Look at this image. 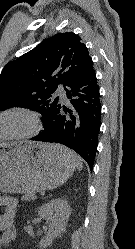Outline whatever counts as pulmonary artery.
I'll return each instance as SVG.
<instances>
[{
	"mask_svg": "<svg viewBox=\"0 0 135 249\" xmlns=\"http://www.w3.org/2000/svg\"><path fill=\"white\" fill-rule=\"evenodd\" d=\"M56 93L59 95V97L62 100L66 99V93H65V91L62 88H58L57 91H56Z\"/></svg>",
	"mask_w": 135,
	"mask_h": 249,
	"instance_id": "pulmonary-artery-1",
	"label": "pulmonary artery"
}]
</instances>
